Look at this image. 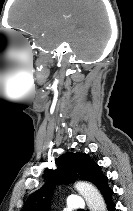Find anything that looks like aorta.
<instances>
[{
	"label": "aorta",
	"mask_w": 133,
	"mask_h": 211,
	"mask_svg": "<svg viewBox=\"0 0 133 211\" xmlns=\"http://www.w3.org/2000/svg\"><path fill=\"white\" fill-rule=\"evenodd\" d=\"M75 188L85 199L90 211H106V205L100 192L90 183L77 182Z\"/></svg>",
	"instance_id": "aorta-1"
}]
</instances>
